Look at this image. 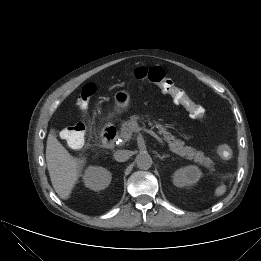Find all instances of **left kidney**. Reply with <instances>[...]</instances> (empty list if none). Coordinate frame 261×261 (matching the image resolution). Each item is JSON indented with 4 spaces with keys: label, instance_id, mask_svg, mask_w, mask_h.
Returning <instances> with one entry per match:
<instances>
[{
    "label": "left kidney",
    "instance_id": "5707ae66",
    "mask_svg": "<svg viewBox=\"0 0 261 261\" xmlns=\"http://www.w3.org/2000/svg\"><path fill=\"white\" fill-rule=\"evenodd\" d=\"M202 172L196 166H187L178 169L173 175V184L177 187L191 186L197 183Z\"/></svg>",
    "mask_w": 261,
    "mask_h": 261
}]
</instances>
